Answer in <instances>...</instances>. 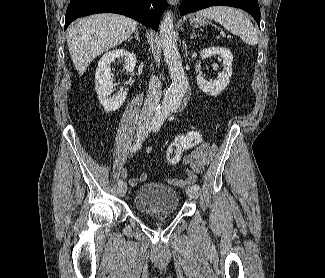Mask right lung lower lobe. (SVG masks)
<instances>
[{"label": "right lung lower lobe", "mask_w": 325, "mask_h": 278, "mask_svg": "<svg viewBox=\"0 0 325 278\" xmlns=\"http://www.w3.org/2000/svg\"><path fill=\"white\" fill-rule=\"evenodd\" d=\"M165 8L166 0H70L64 30L76 18L111 12L131 17L157 31Z\"/></svg>", "instance_id": "obj_1"}]
</instances>
